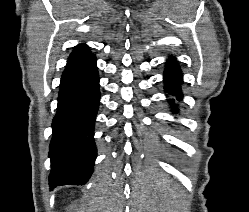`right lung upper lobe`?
Wrapping results in <instances>:
<instances>
[{
  "mask_svg": "<svg viewBox=\"0 0 249 212\" xmlns=\"http://www.w3.org/2000/svg\"><path fill=\"white\" fill-rule=\"evenodd\" d=\"M91 55L89 47L82 44L75 48L69 56L67 66L82 61Z\"/></svg>",
  "mask_w": 249,
  "mask_h": 212,
  "instance_id": "1",
  "label": "right lung upper lobe"
}]
</instances>
